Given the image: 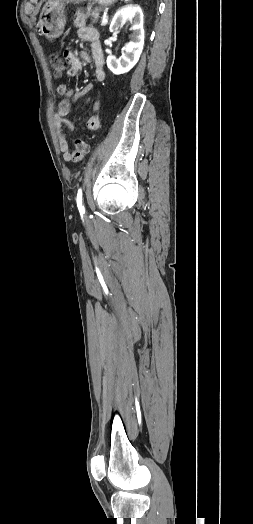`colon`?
<instances>
[{
	"label": "colon",
	"instance_id": "5ec220e1",
	"mask_svg": "<svg viewBox=\"0 0 253 524\" xmlns=\"http://www.w3.org/2000/svg\"><path fill=\"white\" fill-rule=\"evenodd\" d=\"M50 63L52 66L53 74L55 77H60L63 72L66 64L62 58L61 54L53 53L50 55ZM88 144L82 139H76L73 147L67 153V160L73 163L81 162L86 154L88 153Z\"/></svg>",
	"mask_w": 253,
	"mask_h": 524
}]
</instances>
